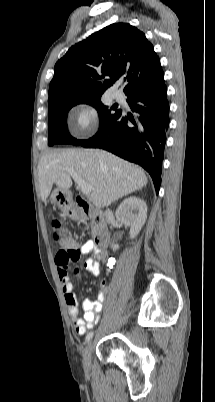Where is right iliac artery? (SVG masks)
<instances>
[{
    "instance_id": "obj_1",
    "label": "right iliac artery",
    "mask_w": 215,
    "mask_h": 402,
    "mask_svg": "<svg viewBox=\"0 0 215 402\" xmlns=\"http://www.w3.org/2000/svg\"><path fill=\"white\" fill-rule=\"evenodd\" d=\"M93 334H94L93 332H89V333L87 334V336H86V341H87V342L92 339Z\"/></svg>"
}]
</instances>
